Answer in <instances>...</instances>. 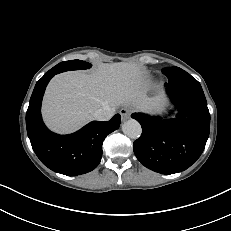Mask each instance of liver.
Here are the masks:
<instances>
[{"mask_svg":"<svg viewBox=\"0 0 231 231\" xmlns=\"http://www.w3.org/2000/svg\"><path fill=\"white\" fill-rule=\"evenodd\" d=\"M145 71L133 63L99 66L90 75L69 71L49 83L42 107L43 118L55 132H73L94 119V113L109 105L131 104L143 111L159 110L163 95H145Z\"/></svg>","mask_w":231,"mask_h":231,"instance_id":"6515ba94","label":"liver"}]
</instances>
